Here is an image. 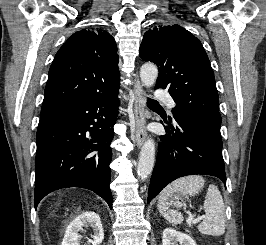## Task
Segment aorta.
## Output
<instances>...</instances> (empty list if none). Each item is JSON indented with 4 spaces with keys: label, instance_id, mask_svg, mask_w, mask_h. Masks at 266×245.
Masks as SVG:
<instances>
[{
    "label": "aorta",
    "instance_id": "obj_1",
    "mask_svg": "<svg viewBox=\"0 0 266 245\" xmlns=\"http://www.w3.org/2000/svg\"><path fill=\"white\" fill-rule=\"evenodd\" d=\"M158 76V68L152 62L142 64L140 68V78L143 86H153ZM155 161V143L153 139H147L139 153V163L137 175L141 181H145L151 175Z\"/></svg>",
    "mask_w": 266,
    "mask_h": 245
}]
</instances>
